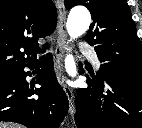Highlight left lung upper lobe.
Returning <instances> with one entry per match:
<instances>
[{"label": "left lung upper lobe", "instance_id": "left-lung-upper-lobe-1", "mask_svg": "<svg viewBox=\"0 0 142 128\" xmlns=\"http://www.w3.org/2000/svg\"><path fill=\"white\" fill-rule=\"evenodd\" d=\"M83 5L93 22L85 40L102 63L97 74L128 75L142 79V47L126 0H65L71 9Z\"/></svg>", "mask_w": 142, "mask_h": 128}]
</instances>
